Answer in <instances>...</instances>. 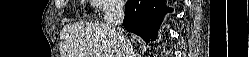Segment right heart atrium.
<instances>
[{
    "instance_id": "1",
    "label": "right heart atrium",
    "mask_w": 249,
    "mask_h": 57,
    "mask_svg": "<svg viewBox=\"0 0 249 57\" xmlns=\"http://www.w3.org/2000/svg\"><path fill=\"white\" fill-rule=\"evenodd\" d=\"M93 2H94L93 5L101 11L114 9L116 6L120 4V2L114 0H96Z\"/></svg>"
}]
</instances>
